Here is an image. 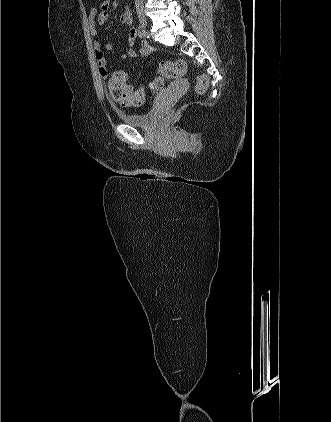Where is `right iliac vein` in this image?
Instances as JSON below:
<instances>
[{
    "label": "right iliac vein",
    "mask_w": 331,
    "mask_h": 422,
    "mask_svg": "<svg viewBox=\"0 0 331 422\" xmlns=\"http://www.w3.org/2000/svg\"><path fill=\"white\" fill-rule=\"evenodd\" d=\"M139 21H140L141 26H142L144 29H147V20H146L145 16L140 15V16H139Z\"/></svg>",
    "instance_id": "obj_1"
}]
</instances>
